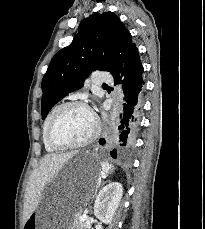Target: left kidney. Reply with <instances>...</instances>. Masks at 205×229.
I'll use <instances>...</instances> for the list:
<instances>
[{
	"mask_svg": "<svg viewBox=\"0 0 205 229\" xmlns=\"http://www.w3.org/2000/svg\"><path fill=\"white\" fill-rule=\"evenodd\" d=\"M123 195V187L119 182H111L104 186L96 197L94 215L103 223H110Z\"/></svg>",
	"mask_w": 205,
	"mask_h": 229,
	"instance_id": "5707ae66",
	"label": "left kidney"
}]
</instances>
